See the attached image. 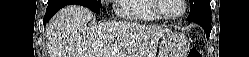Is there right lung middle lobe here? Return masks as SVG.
Here are the masks:
<instances>
[{
	"label": "right lung middle lobe",
	"instance_id": "dd1d6c3e",
	"mask_svg": "<svg viewBox=\"0 0 249 57\" xmlns=\"http://www.w3.org/2000/svg\"><path fill=\"white\" fill-rule=\"evenodd\" d=\"M71 4L85 6L97 14L100 12V6L97 0H48V5L51 6L64 7Z\"/></svg>",
	"mask_w": 249,
	"mask_h": 57
}]
</instances>
